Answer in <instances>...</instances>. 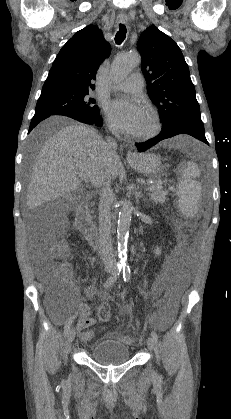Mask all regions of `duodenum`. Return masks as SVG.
I'll list each match as a JSON object with an SVG mask.
<instances>
[{
    "label": "duodenum",
    "instance_id": "duodenum-1",
    "mask_svg": "<svg viewBox=\"0 0 231 419\" xmlns=\"http://www.w3.org/2000/svg\"><path fill=\"white\" fill-rule=\"evenodd\" d=\"M76 224L82 231L83 235L96 245V226L90 215L89 207L86 202L82 203L77 209Z\"/></svg>",
    "mask_w": 231,
    "mask_h": 419
}]
</instances>
